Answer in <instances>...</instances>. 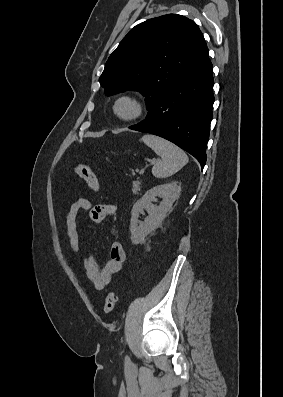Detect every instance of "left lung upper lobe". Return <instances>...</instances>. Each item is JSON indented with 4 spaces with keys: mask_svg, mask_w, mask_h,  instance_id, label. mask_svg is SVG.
<instances>
[{
    "mask_svg": "<svg viewBox=\"0 0 283 397\" xmlns=\"http://www.w3.org/2000/svg\"><path fill=\"white\" fill-rule=\"evenodd\" d=\"M197 24L168 14L131 29L110 55L99 79L106 95L136 90L147 109L176 82L208 58Z\"/></svg>",
    "mask_w": 283,
    "mask_h": 397,
    "instance_id": "left-lung-upper-lobe-1",
    "label": "left lung upper lobe"
}]
</instances>
